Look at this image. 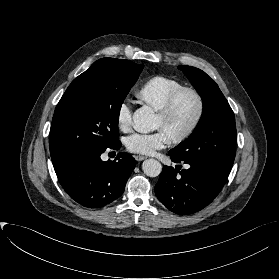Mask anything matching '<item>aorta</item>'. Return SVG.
Here are the masks:
<instances>
[{"mask_svg": "<svg viewBox=\"0 0 279 279\" xmlns=\"http://www.w3.org/2000/svg\"><path fill=\"white\" fill-rule=\"evenodd\" d=\"M133 127L141 133H149L157 128V117L154 111L143 106L137 109L133 114ZM143 172L149 177H157L162 171V165L155 159H147L142 164Z\"/></svg>", "mask_w": 279, "mask_h": 279, "instance_id": "1", "label": "aorta"}]
</instances>
